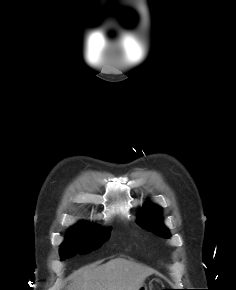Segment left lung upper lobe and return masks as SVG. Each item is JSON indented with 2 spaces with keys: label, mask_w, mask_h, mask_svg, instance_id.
I'll use <instances>...</instances> for the list:
<instances>
[{
  "label": "left lung upper lobe",
  "mask_w": 236,
  "mask_h": 290,
  "mask_svg": "<svg viewBox=\"0 0 236 290\" xmlns=\"http://www.w3.org/2000/svg\"><path fill=\"white\" fill-rule=\"evenodd\" d=\"M160 211V207L152 204L145 205L141 210V219L138 224L148 231H152L159 236L168 238L169 232L161 222Z\"/></svg>",
  "instance_id": "5c2ea615"
}]
</instances>
